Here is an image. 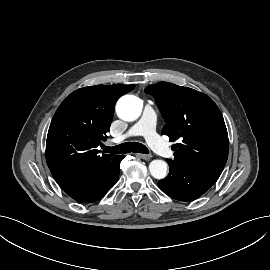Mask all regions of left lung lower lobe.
<instances>
[{"instance_id": "obj_1", "label": "left lung lower lobe", "mask_w": 270, "mask_h": 270, "mask_svg": "<svg viewBox=\"0 0 270 270\" xmlns=\"http://www.w3.org/2000/svg\"><path fill=\"white\" fill-rule=\"evenodd\" d=\"M167 162L169 174L158 182V187L176 200L189 201L200 197L220 176L201 168L179 165L168 159Z\"/></svg>"}]
</instances>
